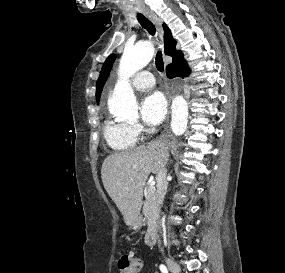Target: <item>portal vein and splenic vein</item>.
I'll return each mask as SVG.
<instances>
[{
	"instance_id": "obj_1",
	"label": "portal vein and splenic vein",
	"mask_w": 285,
	"mask_h": 273,
	"mask_svg": "<svg viewBox=\"0 0 285 273\" xmlns=\"http://www.w3.org/2000/svg\"><path fill=\"white\" fill-rule=\"evenodd\" d=\"M150 189H155L154 185H151V186H150Z\"/></svg>"
}]
</instances>
